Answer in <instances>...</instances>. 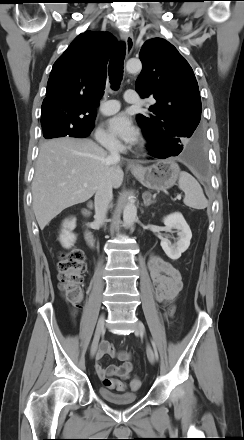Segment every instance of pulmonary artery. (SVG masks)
Listing matches in <instances>:
<instances>
[{
  "instance_id": "pulmonary-artery-1",
  "label": "pulmonary artery",
  "mask_w": 244,
  "mask_h": 440,
  "mask_svg": "<svg viewBox=\"0 0 244 440\" xmlns=\"http://www.w3.org/2000/svg\"><path fill=\"white\" fill-rule=\"evenodd\" d=\"M124 99L126 102L131 104L139 103V96L136 91L128 90L124 94ZM120 103L117 100H109L102 104L101 112L105 115H111L119 111Z\"/></svg>"
}]
</instances>
